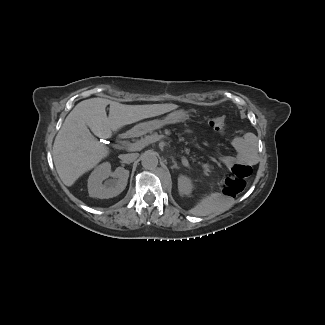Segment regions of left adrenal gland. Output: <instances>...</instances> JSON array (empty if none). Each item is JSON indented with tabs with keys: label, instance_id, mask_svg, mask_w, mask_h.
I'll list each match as a JSON object with an SVG mask.
<instances>
[{
	"label": "left adrenal gland",
	"instance_id": "1",
	"mask_svg": "<svg viewBox=\"0 0 325 325\" xmlns=\"http://www.w3.org/2000/svg\"><path fill=\"white\" fill-rule=\"evenodd\" d=\"M172 162H173V166L171 167L172 169L175 168V169H178V165H177V162L175 161V159L172 157Z\"/></svg>",
	"mask_w": 325,
	"mask_h": 325
}]
</instances>
